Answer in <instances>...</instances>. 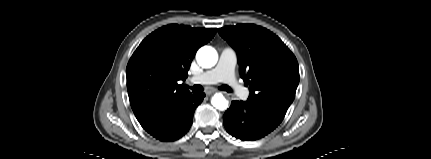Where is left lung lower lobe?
Returning a JSON list of instances; mask_svg holds the SVG:
<instances>
[{"instance_id": "obj_1", "label": "left lung lower lobe", "mask_w": 431, "mask_h": 159, "mask_svg": "<svg viewBox=\"0 0 431 159\" xmlns=\"http://www.w3.org/2000/svg\"><path fill=\"white\" fill-rule=\"evenodd\" d=\"M284 116L264 106L233 101L223 115V123L232 136L243 141H253L273 131Z\"/></svg>"}]
</instances>
